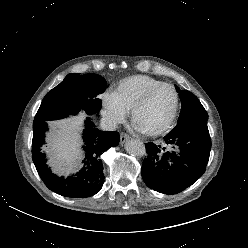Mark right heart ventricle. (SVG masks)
Returning <instances> with one entry per match:
<instances>
[{
  "label": "right heart ventricle",
  "instance_id": "1",
  "mask_svg": "<svg viewBox=\"0 0 248 248\" xmlns=\"http://www.w3.org/2000/svg\"><path fill=\"white\" fill-rule=\"evenodd\" d=\"M160 83V80L148 75H130L117 83L113 95L123 109L129 112L150 88Z\"/></svg>",
  "mask_w": 248,
  "mask_h": 248
}]
</instances>
